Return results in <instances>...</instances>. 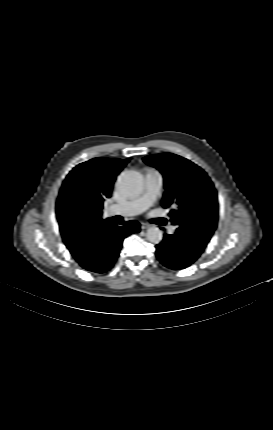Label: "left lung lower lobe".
<instances>
[{"mask_svg":"<svg viewBox=\"0 0 273 430\" xmlns=\"http://www.w3.org/2000/svg\"><path fill=\"white\" fill-rule=\"evenodd\" d=\"M203 250L177 230L173 235H164L163 241L156 245V256L166 267L179 270L194 263Z\"/></svg>","mask_w":273,"mask_h":430,"instance_id":"1","label":"left lung lower lobe"}]
</instances>
